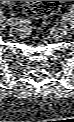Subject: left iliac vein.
Returning a JSON list of instances; mask_svg holds the SVG:
<instances>
[{
  "instance_id": "4c4485c4",
  "label": "left iliac vein",
  "mask_w": 74,
  "mask_h": 122,
  "mask_svg": "<svg viewBox=\"0 0 74 122\" xmlns=\"http://www.w3.org/2000/svg\"><path fill=\"white\" fill-rule=\"evenodd\" d=\"M69 19H70V14H65L62 17L63 22H67ZM68 31H69L68 26H63L62 29H61V35H63V36L66 35Z\"/></svg>"
}]
</instances>
